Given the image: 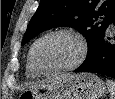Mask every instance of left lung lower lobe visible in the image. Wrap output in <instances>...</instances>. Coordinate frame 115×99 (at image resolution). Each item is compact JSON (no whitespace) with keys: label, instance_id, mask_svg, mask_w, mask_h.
Listing matches in <instances>:
<instances>
[{"label":"left lung lower lobe","instance_id":"0a47b994","mask_svg":"<svg viewBox=\"0 0 115 99\" xmlns=\"http://www.w3.org/2000/svg\"><path fill=\"white\" fill-rule=\"evenodd\" d=\"M111 22L115 25V16ZM110 39L108 30H106L95 50L86 57L85 61L74 72H94L115 79V44H111Z\"/></svg>","mask_w":115,"mask_h":99}]
</instances>
